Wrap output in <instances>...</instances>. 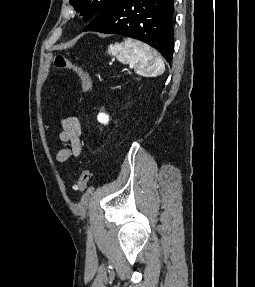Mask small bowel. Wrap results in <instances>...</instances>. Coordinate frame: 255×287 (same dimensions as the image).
Returning <instances> with one entry per match:
<instances>
[{"label":"small bowel","instance_id":"1","mask_svg":"<svg viewBox=\"0 0 255 287\" xmlns=\"http://www.w3.org/2000/svg\"><path fill=\"white\" fill-rule=\"evenodd\" d=\"M81 126L76 117H67L61 121V132L59 140L63 147L57 152L56 160L64 163L72 157H77L81 153Z\"/></svg>","mask_w":255,"mask_h":287}]
</instances>
